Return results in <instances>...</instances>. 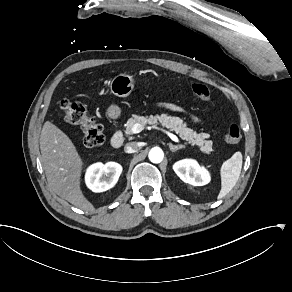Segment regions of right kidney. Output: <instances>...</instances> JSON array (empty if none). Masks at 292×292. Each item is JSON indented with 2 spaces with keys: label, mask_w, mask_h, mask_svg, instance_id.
<instances>
[{
  "label": "right kidney",
  "mask_w": 292,
  "mask_h": 292,
  "mask_svg": "<svg viewBox=\"0 0 292 292\" xmlns=\"http://www.w3.org/2000/svg\"><path fill=\"white\" fill-rule=\"evenodd\" d=\"M122 173V166L116 162L90 165L85 174V183L93 192H104L112 188Z\"/></svg>",
  "instance_id": "obj_1"
}]
</instances>
